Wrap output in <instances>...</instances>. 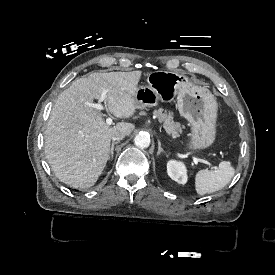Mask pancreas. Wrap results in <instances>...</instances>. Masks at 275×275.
Listing matches in <instances>:
<instances>
[{
  "instance_id": "cf45deb5",
  "label": "pancreas",
  "mask_w": 275,
  "mask_h": 275,
  "mask_svg": "<svg viewBox=\"0 0 275 275\" xmlns=\"http://www.w3.org/2000/svg\"><path fill=\"white\" fill-rule=\"evenodd\" d=\"M154 116L163 124V128L167 134L171 135L172 138L178 137L177 131L181 130V124L173 120L171 113H166V110L159 109L158 111H154Z\"/></svg>"
}]
</instances>
